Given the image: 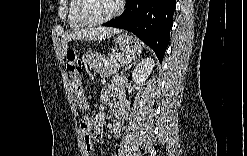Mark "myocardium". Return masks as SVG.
<instances>
[{
  "label": "myocardium",
  "instance_id": "obj_1",
  "mask_svg": "<svg viewBox=\"0 0 247 156\" xmlns=\"http://www.w3.org/2000/svg\"><path fill=\"white\" fill-rule=\"evenodd\" d=\"M86 3H87V0H81L78 4V9H77V17L79 21L85 26H97V25H101L106 22H109L112 19L116 18L118 15H120L123 9V3L117 0L116 6L112 13H110L107 16L101 17V18L90 19L84 15Z\"/></svg>",
  "mask_w": 247,
  "mask_h": 156
}]
</instances>
